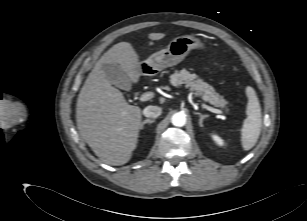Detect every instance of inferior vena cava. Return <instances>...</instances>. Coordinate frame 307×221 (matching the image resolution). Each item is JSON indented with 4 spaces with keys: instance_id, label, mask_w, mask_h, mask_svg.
<instances>
[{
    "instance_id": "inferior-vena-cava-1",
    "label": "inferior vena cava",
    "mask_w": 307,
    "mask_h": 221,
    "mask_svg": "<svg viewBox=\"0 0 307 221\" xmlns=\"http://www.w3.org/2000/svg\"><path fill=\"white\" fill-rule=\"evenodd\" d=\"M162 113V108L159 106L149 105L143 110V114L149 118H157Z\"/></svg>"
}]
</instances>
